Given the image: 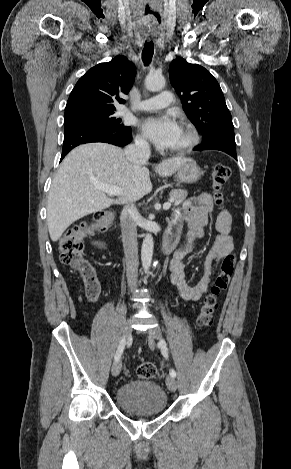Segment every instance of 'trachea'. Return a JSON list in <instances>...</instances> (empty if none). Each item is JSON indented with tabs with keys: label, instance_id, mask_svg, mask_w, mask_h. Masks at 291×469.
Masks as SVG:
<instances>
[{
	"label": "trachea",
	"instance_id": "obj_1",
	"mask_svg": "<svg viewBox=\"0 0 291 469\" xmlns=\"http://www.w3.org/2000/svg\"><path fill=\"white\" fill-rule=\"evenodd\" d=\"M154 54V44L152 41L145 42L143 51H142V61L145 66L149 65Z\"/></svg>",
	"mask_w": 291,
	"mask_h": 469
}]
</instances>
